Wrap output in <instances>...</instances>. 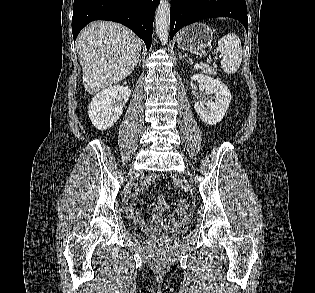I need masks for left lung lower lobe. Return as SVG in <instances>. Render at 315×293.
Returning a JSON list of instances; mask_svg holds the SVG:
<instances>
[{"mask_svg":"<svg viewBox=\"0 0 315 293\" xmlns=\"http://www.w3.org/2000/svg\"><path fill=\"white\" fill-rule=\"evenodd\" d=\"M212 17L234 18L245 26L248 34L245 0H172L170 40L182 27Z\"/></svg>","mask_w":315,"mask_h":293,"instance_id":"left-lung-lower-lobe-1","label":"left lung lower lobe"}]
</instances>
